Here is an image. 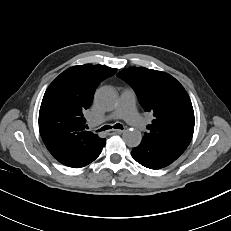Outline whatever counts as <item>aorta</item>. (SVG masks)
<instances>
[{
	"mask_svg": "<svg viewBox=\"0 0 231 231\" xmlns=\"http://www.w3.org/2000/svg\"><path fill=\"white\" fill-rule=\"evenodd\" d=\"M95 100L97 104L105 109L112 108L117 103V94L111 87H102L96 92ZM123 140L129 147H137L142 136L138 130L129 129L123 133Z\"/></svg>",
	"mask_w": 231,
	"mask_h": 231,
	"instance_id": "1",
	"label": "aorta"
}]
</instances>
